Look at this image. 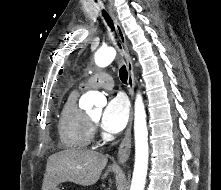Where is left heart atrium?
<instances>
[{
  "mask_svg": "<svg viewBox=\"0 0 221 190\" xmlns=\"http://www.w3.org/2000/svg\"><path fill=\"white\" fill-rule=\"evenodd\" d=\"M129 118V103L127 99L118 95L108 100L100 120L101 127L109 133L120 132Z\"/></svg>",
  "mask_w": 221,
  "mask_h": 190,
  "instance_id": "1",
  "label": "left heart atrium"
}]
</instances>
